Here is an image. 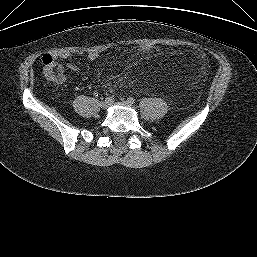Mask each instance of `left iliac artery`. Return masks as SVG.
<instances>
[{
	"label": "left iliac artery",
	"mask_w": 257,
	"mask_h": 257,
	"mask_svg": "<svg viewBox=\"0 0 257 257\" xmlns=\"http://www.w3.org/2000/svg\"><path fill=\"white\" fill-rule=\"evenodd\" d=\"M128 102H130L131 104L135 103V99L133 97H128Z\"/></svg>",
	"instance_id": "1"
}]
</instances>
